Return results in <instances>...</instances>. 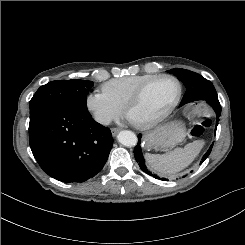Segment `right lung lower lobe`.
I'll return each instance as SVG.
<instances>
[{
  "label": "right lung lower lobe",
  "mask_w": 245,
  "mask_h": 245,
  "mask_svg": "<svg viewBox=\"0 0 245 245\" xmlns=\"http://www.w3.org/2000/svg\"><path fill=\"white\" fill-rule=\"evenodd\" d=\"M29 141L41 168L52 178L71 183L100 172L114 139L88 111L45 105L30 112Z\"/></svg>",
  "instance_id": "obj_1"
}]
</instances>
